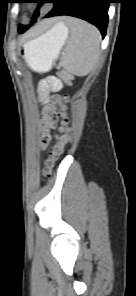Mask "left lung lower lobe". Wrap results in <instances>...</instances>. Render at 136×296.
I'll list each match as a JSON object with an SVG mask.
<instances>
[{"label": "left lung lower lobe", "instance_id": "1", "mask_svg": "<svg viewBox=\"0 0 136 296\" xmlns=\"http://www.w3.org/2000/svg\"><path fill=\"white\" fill-rule=\"evenodd\" d=\"M51 3H54V7L46 18L60 15L78 17L98 27L102 36H105L111 0H52ZM26 29L22 28L19 32L23 33Z\"/></svg>", "mask_w": 136, "mask_h": 296}]
</instances>
